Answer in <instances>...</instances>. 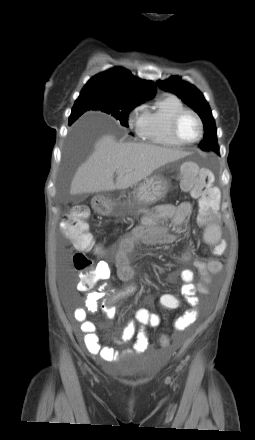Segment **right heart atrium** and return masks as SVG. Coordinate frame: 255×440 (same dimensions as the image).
<instances>
[{
  "label": "right heart atrium",
  "mask_w": 255,
  "mask_h": 440,
  "mask_svg": "<svg viewBox=\"0 0 255 440\" xmlns=\"http://www.w3.org/2000/svg\"><path fill=\"white\" fill-rule=\"evenodd\" d=\"M143 111L144 110H143V108L141 106H138V107L134 108L131 111V113L129 114V122H130V124L135 125V126L138 127L139 124H140V121H141V117H142Z\"/></svg>",
  "instance_id": "d8ad5b80"
}]
</instances>
